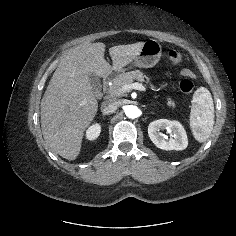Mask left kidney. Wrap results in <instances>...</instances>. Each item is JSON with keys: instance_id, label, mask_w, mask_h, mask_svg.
I'll return each instance as SVG.
<instances>
[{"instance_id": "left-kidney-1", "label": "left kidney", "mask_w": 236, "mask_h": 236, "mask_svg": "<svg viewBox=\"0 0 236 236\" xmlns=\"http://www.w3.org/2000/svg\"><path fill=\"white\" fill-rule=\"evenodd\" d=\"M169 134L167 138L162 131ZM148 135L156 147L163 150H184L188 145V139L183 126L178 121L159 119L148 126Z\"/></svg>"}]
</instances>
